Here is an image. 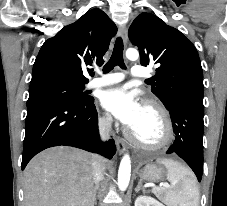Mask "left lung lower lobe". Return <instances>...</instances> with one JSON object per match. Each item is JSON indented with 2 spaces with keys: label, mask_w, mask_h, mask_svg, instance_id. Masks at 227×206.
<instances>
[{
  "label": "left lung lower lobe",
  "mask_w": 227,
  "mask_h": 206,
  "mask_svg": "<svg viewBox=\"0 0 227 206\" xmlns=\"http://www.w3.org/2000/svg\"><path fill=\"white\" fill-rule=\"evenodd\" d=\"M169 111L175 133V141L167 154H177L192 168L198 181L203 170V100L178 98L170 102Z\"/></svg>",
  "instance_id": "0a47b994"
}]
</instances>
